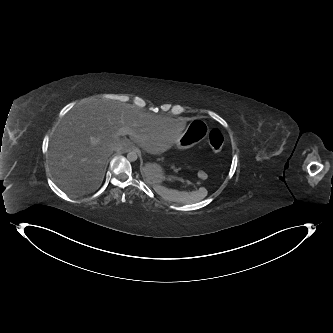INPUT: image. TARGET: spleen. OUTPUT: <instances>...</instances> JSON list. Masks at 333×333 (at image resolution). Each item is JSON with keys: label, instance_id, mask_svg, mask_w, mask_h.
<instances>
[{"label": "spleen", "instance_id": "obj_1", "mask_svg": "<svg viewBox=\"0 0 333 333\" xmlns=\"http://www.w3.org/2000/svg\"><path fill=\"white\" fill-rule=\"evenodd\" d=\"M152 186L159 195L165 198V200L175 203H194L204 199L208 195L205 188H200L197 191L189 193L168 189L161 183L157 185L152 184Z\"/></svg>", "mask_w": 333, "mask_h": 333}]
</instances>
